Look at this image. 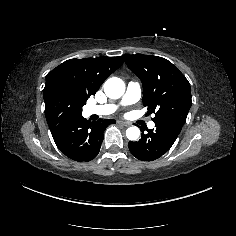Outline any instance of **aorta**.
<instances>
[{
  "instance_id": "1",
  "label": "aorta",
  "mask_w": 236,
  "mask_h": 236,
  "mask_svg": "<svg viewBox=\"0 0 236 236\" xmlns=\"http://www.w3.org/2000/svg\"><path fill=\"white\" fill-rule=\"evenodd\" d=\"M104 91L109 98L118 99L124 94L125 85L121 79L112 77L105 82ZM126 136L129 140L136 141L140 137V129L136 126L129 127Z\"/></svg>"
}]
</instances>
